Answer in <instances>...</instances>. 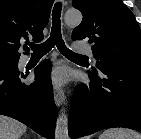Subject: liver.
<instances>
[{
    "label": "liver",
    "mask_w": 141,
    "mask_h": 139,
    "mask_svg": "<svg viewBox=\"0 0 141 139\" xmlns=\"http://www.w3.org/2000/svg\"><path fill=\"white\" fill-rule=\"evenodd\" d=\"M26 130L27 127L23 123L0 115V139H20Z\"/></svg>",
    "instance_id": "6515ba94"
}]
</instances>
